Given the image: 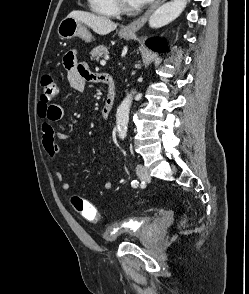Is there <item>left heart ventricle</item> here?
Masks as SVG:
<instances>
[{
    "mask_svg": "<svg viewBox=\"0 0 249 294\" xmlns=\"http://www.w3.org/2000/svg\"><path fill=\"white\" fill-rule=\"evenodd\" d=\"M126 2H127V4H129V5H133L132 3H131V0H125Z\"/></svg>",
    "mask_w": 249,
    "mask_h": 294,
    "instance_id": "b2bd125f",
    "label": "left heart ventricle"
}]
</instances>
